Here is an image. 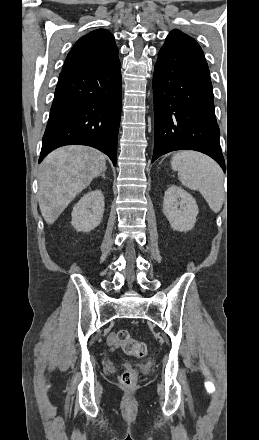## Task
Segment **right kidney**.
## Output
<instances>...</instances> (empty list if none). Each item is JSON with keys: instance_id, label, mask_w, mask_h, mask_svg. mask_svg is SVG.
Here are the masks:
<instances>
[{"instance_id": "1", "label": "right kidney", "mask_w": 259, "mask_h": 440, "mask_svg": "<svg viewBox=\"0 0 259 440\" xmlns=\"http://www.w3.org/2000/svg\"><path fill=\"white\" fill-rule=\"evenodd\" d=\"M103 213V193L100 190L90 191L73 207L71 224L79 232H90L99 226Z\"/></svg>"}]
</instances>
